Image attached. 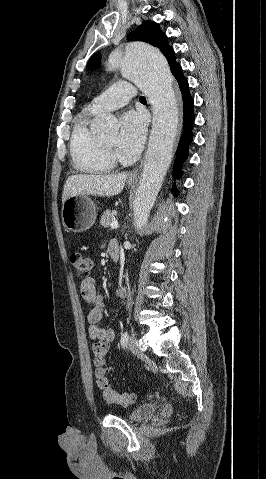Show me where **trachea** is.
Instances as JSON below:
<instances>
[{"label":"trachea","mask_w":266,"mask_h":479,"mask_svg":"<svg viewBox=\"0 0 266 479\" xmlns=\"http://www.w3.org/2000/svg\"><path fill=\"white\" fill-rule=\"evenodd\" d=\"M139 100H140V101H146V99H145L144 96H141V97L139 98Z\"/></svg>","instance_id":"trachea-1"}]
</instances>
